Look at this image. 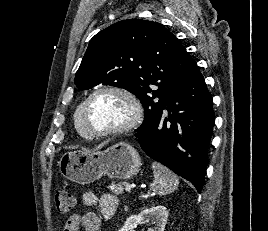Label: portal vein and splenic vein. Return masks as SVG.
Wrapping results in <instances>:
<instances>
[{
  "label": "portal vein and splenic vein",
  "instance_id": "1",
  "mask_svg": "<svg viewBox=\"0 0 268 231\" xmlns=\"http://www.w3.org/2000/svg\"><path fill=\"white\" fill-rule=\"evenodd\" d=\"M133 187H135V185H129V184H127L125 186V189H126V191H130Z\"/></svg>",
  "mask_w": 268,
  "mask_h": 231
}]
</instances>
